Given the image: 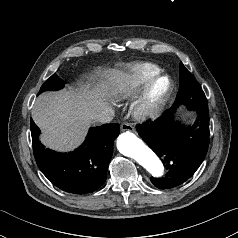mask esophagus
<instances>
[{
	"label": "esophagus",
	"mask_w": 238,
	"mask_h": 238,
	"mask_svg": "<svg viewBox=\"0 0 238 238\" xmlns=\"http://www.w3.org/2000/svg\"><path fill=\"white\" fill-rule=\"evenodd\" d=\"M121 131H134V127L130 123H123L120 126Z\"/></svg>",
	"instance_id": "esophagus-1"
}]
</instances>
